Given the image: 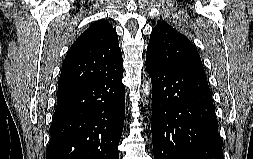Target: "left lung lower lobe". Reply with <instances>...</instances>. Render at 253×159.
Returning <instances> with one entry per match:
<instances>
[{"mask_svg": "<svg viewBox=\"0 0 253 159\" xmlns=\"http://www.w3.org/2000/svg\"><path fill=\"white\" fill-rule=\"evenodd\" d=\"M154 159H224L205 72L146 61Z\"/></svg>", "mask_w": 253, "mask_h": 159, "instance_id": "obj_1", "label": "left lung lower lobe"}]
</instances>
